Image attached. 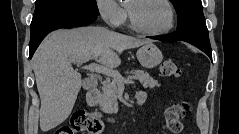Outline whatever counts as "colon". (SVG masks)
<instances>
[{"instance_id":"5ec220e1","label":"colon","mask_w":239,"mask_h":134,"mask_svg":"<svg viewBox=\"0 0 239 134\" xmlns=\"http://www.w3.org/2000/svg\"><path fill=\"white\" fill-rule=\"evenodd\" d=\"M161 73L167 78H176L180 75V68L174 59H166L161 64ZM191 104L188 101H179L167 108L165 121L168 129L179 134L183 130L181 119L190 111ZM100 120L85 111H78L73 114L70 125L58 128L55 134H76L87 132L90 134H100L102 132Z\"/></svg>"}]
</instances>
